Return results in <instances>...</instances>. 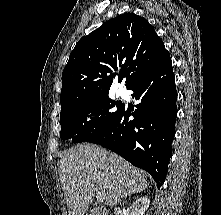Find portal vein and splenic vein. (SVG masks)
<instances>
[{"mask_svg": "<svg viewBox=\"0 0 221 215\" xmlns=\"http://www.w3.org/2000/svg\"><path fill=\"white\" fill-rule=\"evenodd\" d=\"M96 198L99 203H102L104 201V198L101 194H97Z\"/></svg>", "mask_w": 221, "mask_h": 215, "instance_id": "portal-vein-and-splenic-vein-1", "label": "portal vein and splenic vein"}]
</instances>
